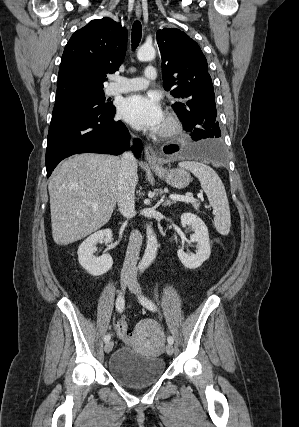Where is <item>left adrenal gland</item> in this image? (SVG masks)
<instances>
[{"instance_id": "obj_1", "label": "left adrenal gland", "mask_w": 299, "mask_h": 427, "mask_svg": "<svg viewBox=\"0 0 299 427\" xmlns=\"http://www.w3.org/2000/svg\"><path fill=\"white\" fill-rule=\"evenodd\" d=\"M161 203L164 207L166 206H170L171 204H173V202L171 200H164V196L161 198Z\"/></svg>"}]
</instances>
